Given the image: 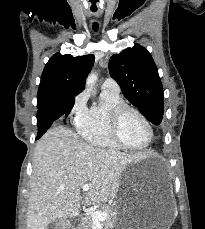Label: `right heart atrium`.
Segmentation results:
<instances>
[{
	"instance_id": "1",
	"label": "right heart atrium",
	"mask_w": 205,
	"mask_h": 229,
	"mask_svg": "<svg viewBox=\"0 0 205 229\" xmlns=\"http://www.w3.org/2000/svg\"><path fill=\"white\" fill-rule=\"evenodd\" d=\"M87 112V93L81 92L75 96L70 109V117L76 126L85 119Z\"/></svg>"
}]
</instances>
